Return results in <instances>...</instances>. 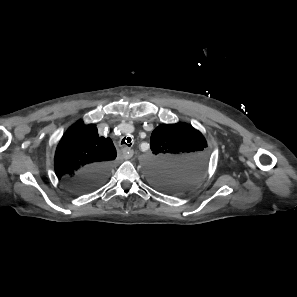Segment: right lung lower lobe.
<instances>
[{"label": "right lung lower lobe", "instance_id": "right-lung-lower-lobe-1", "mask_svg": "<svg viewBox=\"0 0 297 297\" xmlns=\"http://www.w3.org/2000/svg\"><path fill=\"white\" fill-rule=\"evenodd\" d=\"M111 164H97L85 168L67 180V183L77 193H86L98 188L108 178Z\"/></svg>", "mask_w": 297, "mask_h": 297}]
</instances>
